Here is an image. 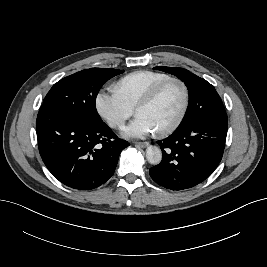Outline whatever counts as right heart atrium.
I'll return each mask as SVG.
<instances>
[{
    "instance_id": "d8ad5b80",
    "label": "right heart atrium",
    "mask_w": 267,
    "mask_h": 267,
    "mask_svg": "<svg viewBox=\"0 0 267 267\" xmlns=\"http://www.w3.org/2000/svg\"><path fill=\"white\" fill-rule=\"evenodd\" d=\"M95 107L98 114L114 129L121 128L134 113V108L115 91L99 92L95 98Z\"/></svg>"
}]
</instances>
